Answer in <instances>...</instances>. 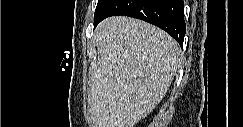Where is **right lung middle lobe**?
<instances>
[{
    "instance_id": "1",
    "label": "right lung middle lobe",
    "mask_w": 243,
    "mask_h": 127,
    "mask_svg": "<svg viewBox=\"0 0 243 127\" xmlns=\"http://www.w3.org/2000/svg\"><path fill=\"white\" fill-rule=\"evenodd\" d=\"M108 0H98L97 7L95 10V15L104 7Z\"/></svg>"
}]
</instances>
